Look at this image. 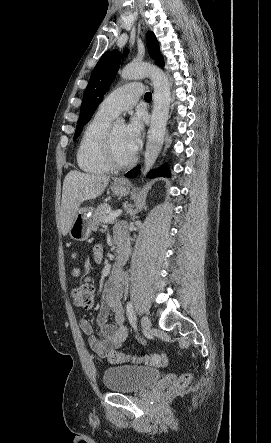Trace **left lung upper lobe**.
<instances>
[{
  "label": "left lung upper lobe",
  "instance_id": "5c2ea615",
  "mask_svg": "<svg viewBox=\"0 0 271 443\" xmlns=\"http://www.w3.org/2000/svg\"><path fill=\"white\" fill-rule=\"evenodd\" d=\"M149 55L155 61L160 57L158 41L153 32L147 33ZM127 51H125V54ZM120 53L117 50L105 52L95 66L84 92L74 140L80 135L83 126L90 120L103 96L108 91L120 66Z\"/></svg>",
  "mask_w": 271,
  "mask_h": 443
}]
</instances>
